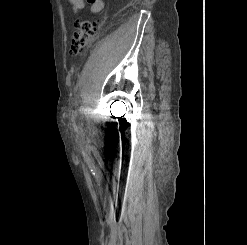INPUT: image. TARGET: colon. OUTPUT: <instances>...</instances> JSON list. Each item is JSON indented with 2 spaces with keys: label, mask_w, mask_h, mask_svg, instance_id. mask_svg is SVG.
Returning <instances> with one entry per match:
<instances>
[{
  "label": "colon",
  "mask_w": 247,
  "mask_h": 245,
  "mask_svg": "<svg viewBox=\"0 0 247 245\" xmlns=\"http://www.w3.org/2000/svg\"><path fill=\"white\" fill-rule=\"evenodd\" d=\"M99 26V19H85L77 23L70 39L72 56L80 57L85 53L86 47L95 38Z\"/></svg>",
  "instance_id": "obj_1"
}]
</instances>
